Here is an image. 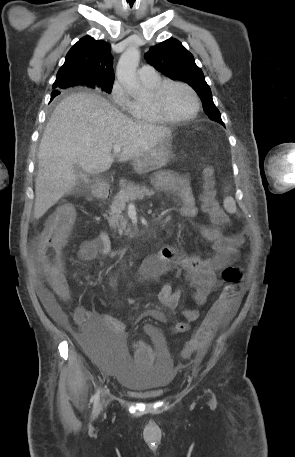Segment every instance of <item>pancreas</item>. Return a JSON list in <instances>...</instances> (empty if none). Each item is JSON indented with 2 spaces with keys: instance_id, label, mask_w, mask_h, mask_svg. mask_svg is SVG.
<instances>
[{
  "instance_id": "cf45deb5",
  "label": "pancreas",
  "mask_w": 295,
  "mask_h": 457,
  "mask_svg": "<svg viewBox=\"0 0 295 457\" xmlns=\"http://www.w3.org/2000/svg\"><path fill=\"white\" fill-rule=\"evenodd\" d=\"M154 194L155 192L153 190H149L145 186L136 185L135 183H129L124 186L114 197L112 204L110 205L109 217H107L109 225L114 229H118L120 235L124 234L131 236V226L122 215L126 203L137 199H143L144 197H151Z\"/></svg>"
}]
</instances>
